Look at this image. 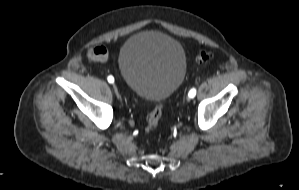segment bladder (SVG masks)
<instances>
[{"label":"bladder","mask_w":299,"mask_h":190,"mask_svg":"<svg viewBox=\"0 0 299 190\" xmlns=\"http://www.w3.org/2000/svg\"><path fill=\"white\" fill-rule=\"evenodd\" d=\"M118 65L128 87L138 96L161 101L175 92L186 75V56L174 38L152 31L132 35L122 46Z\"/></svg>","instance_id":"31cf9c89"}]
</instances>
